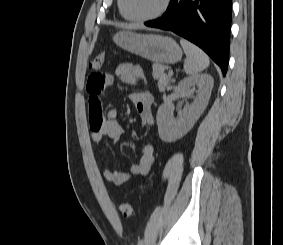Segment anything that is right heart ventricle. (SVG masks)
Returning a JSON list of instances; mask_svg holds the SVG:
<instances>
[{
    "label": "right heart ventricle",
    "instance_id": "right-heart-ventricle-1",
    "mask_svg": "<svg viewBox=\"0 0 283 245\" xmlns=\"http://www.w3.org/2000/svg\"><path fill=\"white\" fill-rule=\"evenodd\" d=\"M118 8H119V11H120L121 15L123 16L122 11H121V4H120V0H118Z\"/></svg>",
    "mask_w": 283,
    "mask_h": 245
}]
</instances>
